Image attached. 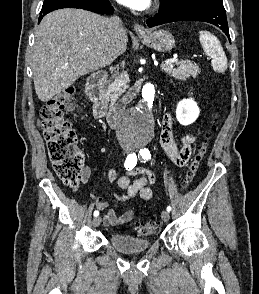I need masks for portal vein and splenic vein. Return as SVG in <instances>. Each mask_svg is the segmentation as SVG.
<instances>
[{"label": "portal vein and splenic vein", "instance_id": "1", "mask_svg": "<svg viewBox=\"0 0 259 294\" xmlns=\"http://www.w3.org/2000/svg\"><path fill=\"white\" fill-rule=\"evenodd\" d=\"M176 62H178V59H168L164 62V65H169Z\"/></svg>", "mask_w": 259, "mask_h": 294}]
</instances>
